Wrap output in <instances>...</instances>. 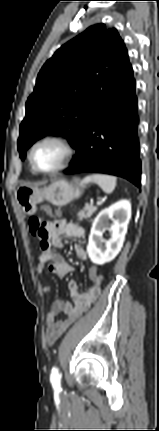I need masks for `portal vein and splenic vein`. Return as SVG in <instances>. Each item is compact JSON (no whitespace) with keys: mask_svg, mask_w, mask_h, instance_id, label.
<instances>
[{"mask_svg":"<svg viewBox=\"0 0 159 431\" xmlns=\"http://www.w3.org/2000/svg\"><path fill=\"white\" fill-rule=\"evenodd\" d=\"M97 204H98V205L102 204V201H98V202H97Z\"/></svg>","mask_w":159,"mask_h":431,"instance_id":"portal-vein-and-splenic-vein-1","label":"portal vein and splenic vein"}]
</instances>
